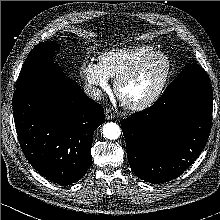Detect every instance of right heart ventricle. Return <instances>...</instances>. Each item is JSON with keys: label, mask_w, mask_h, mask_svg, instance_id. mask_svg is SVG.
<instances>
[{"label": "right heart ventricle", "mask_w": 220, "mask_h": 220, "mask_svg": "<svg viewBox=\"0 0 220 220\" xmlns=\"http://www.w3.org/2000/svg\"><path fill=\"white\" fill-rule=\"evenodd\" d=\"M153 51L155 47L146 44L107 49L100 55L99 65L108 77L116 79Z\"/></svg>", "instance_id": "1"}]
</instances>
